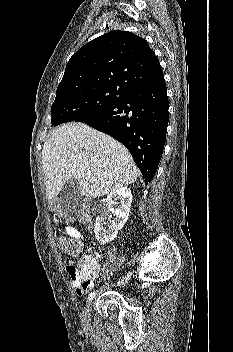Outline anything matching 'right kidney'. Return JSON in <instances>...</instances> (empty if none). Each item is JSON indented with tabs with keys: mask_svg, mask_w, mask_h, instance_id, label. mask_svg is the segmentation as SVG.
<instances>
[{
	"mask_svg": "<svg viewBox=\"0 0 233 352\" xmlns=\"http://www.w3.org/2000/svg\"><path fill=\"white\" fill-rule=\"evenodd\" d=\"M118 203V208L113 209L112 205ZM104 213H101L96 217L95 221V237L101 243H108L113 241L118 230H121L128 220L130 207L132 203V193L130 188L120 187L117 190L111 192L105 201ZM110 211L114 215V219L111 221V215L108 216L109 224L106 229V215Z\"/></svg>",
	"mask_w": 233,
	"mask_h": 352,
	"instance_id": "right-kidney-1",
	"label": "right kidney"
}]
</instances>
